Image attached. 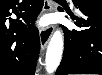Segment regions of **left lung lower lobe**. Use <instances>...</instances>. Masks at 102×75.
<instances>
[{
	"label": "left lung lower lobe",
	"instance_id": "left-lung-lower-lobe-1",
	"mask_svg": "<svg viewBox=\"0 0 102 75\" xmlns=\"http://www.w3.org/2000/svg\"><path fill=\"white\" fill-rule=\"evenodd\" d=\"M80 17L71 16L83 30L63 27L65 48L56 75L102 74V10L78 8Z\"/></svg>",
	"mask_w": 102,
	"mask_h": 75
}]
</instances>
